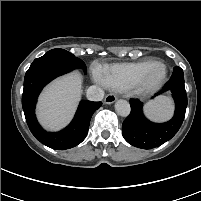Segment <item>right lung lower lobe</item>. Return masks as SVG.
Segmentation results:
<instances>
[{"mask_svg":"<svg viewBox=\"0 0 201 201\" xmlns=\"http://www.w3.org/2000/svg\"><path fill=\"white\" fill-rule=\"evenodd\" d=\"M75 68V63L58 53H46L33 61L25 74L22 107L32 134L42 144L57 150H65L81 143L89 129L93 113L102 102L81 101L72 122L57 133L46 132L37 122L35 105L43 87L54 78Z\"/></svg>","mask_w":201,"mask_h":201,"instance_id":"98d812e1","label":"right lung lower lobe"}]
</instances>
